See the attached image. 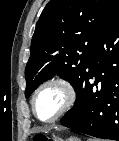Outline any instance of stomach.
Instances as JSON below:
<instances>
[{
  "mask_svg": "<svg viewBox=\"0 0 119 141\" xmlns=\"http://www.w3.org/2000/svg\"><path fill=\"white\" fill-rule=\"evenodd\" d=\"M53 141H81L80 139L76 138V137H70L67 140H63L61 138L58 137H54Z\"/></svg>",
  "mask_w": 119,
  "mask_h": 141,
  "instance_id": "1",
  "label": "stomach"
}]
</instances>
